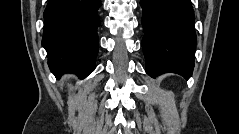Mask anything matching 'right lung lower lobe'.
I'll return each mask as SVG.
<instances>
[{
    "label": "right lung lower lobe",
    "instance_id": "obj_1",
    "mask_svg": "<svg viewBox=\"0 0 239 134\" xmlns=\"http://www.w3.org/2000/svg\"><path fill=\"white\" fill-rule=\"evenodd\" d=\"M100 6V0H49L43 14L42 45L57 78L64 73L83 78L94 70Z\"/></svg>",
    "mask_w": 239,
    "mask_h": 134
}]
</instances>
